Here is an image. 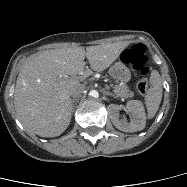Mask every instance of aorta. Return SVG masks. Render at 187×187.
<instances>
[{"label": "aorta", "instance_id": "obj_1", "mask_svg": "<svg viewBox=\"0 0 187 187\" xmlns=\"http://www.w3.org/2000/svg\"><path fill=\"white\" fill-rule=\"evenodd\" d=\"M89 95H90L91 97H94V98L99 97V93H98L96 90H91V91L89 92Z\"/></svg>", "mask_w": 187, "mask_h": 187}]
</instances>
